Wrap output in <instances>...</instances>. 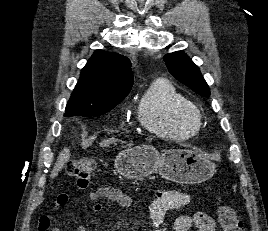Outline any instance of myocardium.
Instances as JSON below:
<instances>
[{
    "label": "myocardium",
    "mask_w": 268,
    "mask_h": 231,
    "mask_svg": "<svg viewBox=\"0 0 268 231\" xmlns=\"http://www.w3.org/2000/svg\"><path fill=\"white\" fill-rule=\"evenodd\" d=\"M193 113L195 114V116L199 119V121H200V119H201V112H200V110L199 109H197L196 107H194V109H193Z\"/></svg>",
    "instance_id": "myocardium-1"
}]
</instances>
